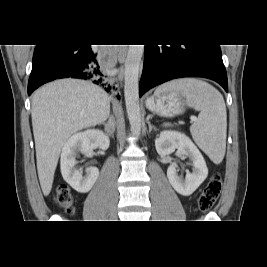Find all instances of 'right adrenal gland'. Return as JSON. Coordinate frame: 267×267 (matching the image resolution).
Returning a JSON list of instances; mask_svg holds the SVG:
<instances>
[{"label": "right adrenal gland", "mask_w": 267, "mask_h": 267, "mask_svg": "<svg viewBox=\"0 0 267 267\" xmlns=\"http://www.w3.org/2000/svg\"><path fill=\"white\" fill-rule=\"evenodd\" d=\"M102 125L104 126V130H105L110 136H113V133H114V131H115V126H114L113 117H110V124L102 123Z\"/></svg>", "instance_id": "2a0ac1e0"}]
</instances>
